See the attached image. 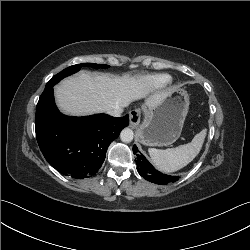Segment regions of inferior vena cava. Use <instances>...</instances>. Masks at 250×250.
I'll return each mask as SVG.
<instances>
[{
    "instance_id": "obj_1",
    "label": "inferior vena cava",
    "mask_w": 250,
    "mask_h": 250,
    "mask_svg": "<svg viewBox=\"0 0 250 250\" xmlns=\"http://www.w3.org/2000/svg\"><path fill=\"white\" fill-rule=\"evenodd\" d=\"M109 115L114 116V117H120L123 113V109L122 108H116L113 110H110L107 112Z\"/></svg>"
}]
</instances>
